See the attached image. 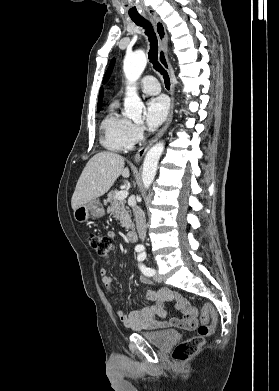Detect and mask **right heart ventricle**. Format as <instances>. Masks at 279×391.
<instances>
[{
    "label": "right heart ventricle",
    "instance_id": "e07e8e85",
    "mask_svg": "<svg viewBox=\"0 0 279 391\" xmlns=\"http://www.w3.org/2000/svg\"><path fill=\"white\" fill-rule=\"evenodd\" d=\"M131 122L118 113V104L113 102L101 123L102 144L113 151H125L133 147L129 136Z\"/></svg>",
    "mask_w": 279,
    "mask_h": 391
}]
</instances>
